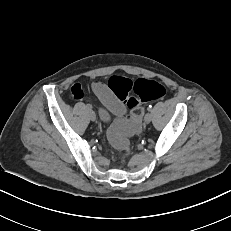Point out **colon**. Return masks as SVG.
I'll return each instance as SVG.
<instances>
[{
  "mask_svg": "<svg viewBox=\"0 0 231 231\" xmlns=\"http://www.w3.org/2000/svg\"><path fill=\"white\" fill-rule=\"evenodd\" d=\"M108 88L130 110V117L113 126L108 132L110 143L117 149L128 155L130 142L128 136L140 129V121L143 110L141 104L165 97L166 87L154 80H132L125 76H112L108 82Z\"/></svg>",
  "mask_w": 231,
  "mask_h": 231,
  "instance_id": "obj_1",
  "label": "colon"
}]
</instances>
